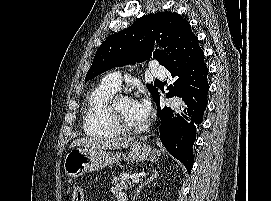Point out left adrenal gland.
Returning a JSON list of instances; mask_svg holds the SVG:
<instances>
[{"instance_id":"a2214340","label":"left adrenal gland","mask_w":271,"mask_h":201,"mask_svg":"<svg viewBox=\"0 0 271 201\" xmlns=\"http://www.w3.org/2000/svg\"><path fill=\"white\" fill-rule=\"evenodd\" d=\"M157 176H158L157 170H153L151 176L147 180H145L141 185H139L138 188L136 189L134 196H133V201L135 200L137 195L140 193L142 188L144 186H146L147 184H150V182L153 181L155 178H157Z\"/></svg>"}]
</instances>
